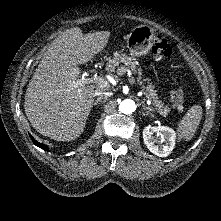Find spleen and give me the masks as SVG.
<instances>
[{"instance_id":"obj_1","label":"spleen","mask_w":221,"mask_h":221,"mask_svg":"<svg viewBox=\"0 0 221 221\" xmlns=\"http://www.w3.org/2000/svg\"><path fill=\"white\" fill-rule=\"evenodd\" d=\"M202 118V107L193 105L178 122L177 132L179 139L189 141L195 134Z\"/></svg>"}]
</instances>
